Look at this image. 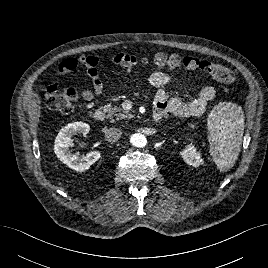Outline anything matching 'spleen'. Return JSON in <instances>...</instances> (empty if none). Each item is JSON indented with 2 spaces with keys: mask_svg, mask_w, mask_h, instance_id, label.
I'll return each mask as SVG.
<instances>
[{
  "mask_svg": "<svg viewBox=\"0 0 268 268\" xmlns=\"http://www.w3.org/2000/svg\"><path fill=\"white\" fill-rule=\"evenodd\" d=\"M244 120L242 107L231 102H220L209 113V152L220 171L232 168L238 158Z\"/></svg>",
  "mask_w": 268,
  "mask_h": 268,
  "instance_id": "spleen-1",
  "label": "spleen"
}]
</instances>
